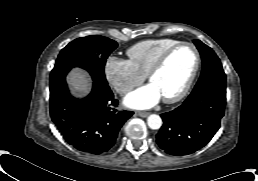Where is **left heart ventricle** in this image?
<instances>
[{"label": "left heart ventricle", "mask_w": 258, "mask_h": 181, "mask_svg": "<svg viewBox=\"0 0 258 181\" xmlns=\"http://www.w3.org/2000/svg\"><path fill=\"white\" fill-rule=\"evenodd\" d=\"M194 65V51L188 46H183L170 56L160 72L154 76L151 84L162 98L172 97L183 89Z\"/></svg>", "instance_id": "1"}]
</instances>
